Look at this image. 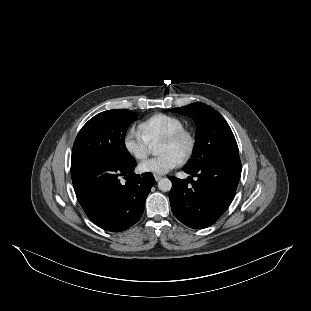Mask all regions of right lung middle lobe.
Here are the masks:
<instances>
[{
	"label": "right lung middle lobe",
	"instance_id": "1",
	"mask_svg": "<svg viewBox=\"0 0 311 311\" xmlns=\"http://www.w3.org/2000/svg\"><path fill=\"white\" fill-rule=\"evenodd\" d=\"M137 115L114 109L92 117L79 131L72 149L71 164L84 159H103L131 165L135 159L125 146V133Z\"/></svg>",
	"mask_w": 311,
	"mask_h": 311
}]
</instances>
